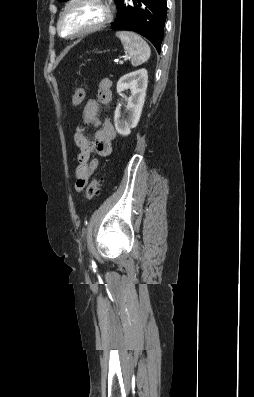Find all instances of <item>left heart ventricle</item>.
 I'll return each mask as SVG.
<instances>
[{
  "label": "left heart ventricle",
  "instance_id": "b2bd125f",
  "mask_svg": "<svg viewBox=\"0 0 254 397\" xmlns=\"http://www.w3.org/2000/svg\"><path fill=\"white\" fill-rule=\"evenodd\" d=\"M103 17L104 9L100 4L88 0L76 3L62 21V32L65 35L73 34L98 23Z\"/></svg>",
  "mask_w": 254,
  "mask_h": 397
}]
</instances>
